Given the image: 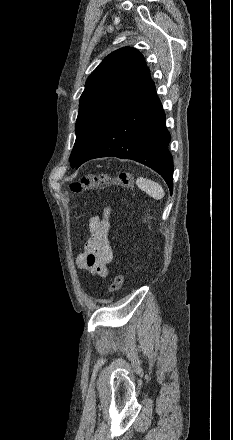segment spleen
Returning a JSON list of instances; mask_svg holds the SVG:
<instances>
[{
	"label": "spleen",
	"mask_w": 233,
	"mask_h": 440,
	"mask_svg": "<svg viewBox=\"0 0 233 440\" xmlns=\"http://www.w3.org/2000/svg\"><path fill=\"white\" fill-rule=\"evenodd\" d=\"M136 184L142 191L146 192L149 196L156 200L162 199L165 195L162 186L150 179L138 177Z\"/></svg>",
	"instance_id": "1"
}]
</instances>
